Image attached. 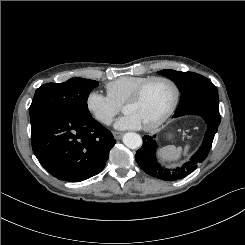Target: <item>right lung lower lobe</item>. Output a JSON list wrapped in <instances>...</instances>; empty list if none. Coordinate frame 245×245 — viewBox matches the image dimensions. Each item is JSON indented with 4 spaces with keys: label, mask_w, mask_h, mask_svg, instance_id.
Segmentation results:
<instances>
[{
    "label": "right lung lower lobe",
    "mask_w": 245,
    "mask_h": 245,
    "mask_svg": "<svg viewBox=\"0 0 245 245\" xmlns=\"http://www.w3.org/2000/svg\"><path fill=\"white\" fill-rule=\"evenodd\" d=\"M31 138L41 165L59 180L71 182L100 173L116 142L92 116L68 117L50 111L31 119Z\"/></svg>",
    "instance_id": "98d812e1"
}]
</instances>
